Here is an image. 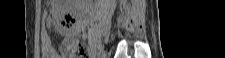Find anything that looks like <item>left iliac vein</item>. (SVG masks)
<instances>
[{
  "label": "left iliac vein",
  "instance_id": "1",
  "mask_svg": "<svg viewBox=\"0 0 225 58\" xmlns=\"http://www.w3.org/2000/svg\"><path fill=\"white\" fill-rule=\"evenodd\" d=\"M98 58H105L106 57V52L103 48H100L98 53H97Z\"/></svg>",
  "mask_w": 225,
  "mask_h": 58
}]
</instances>
